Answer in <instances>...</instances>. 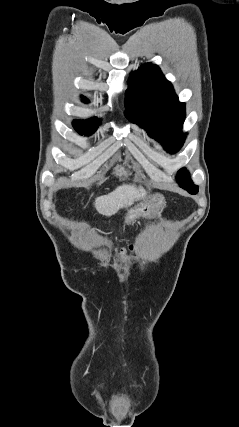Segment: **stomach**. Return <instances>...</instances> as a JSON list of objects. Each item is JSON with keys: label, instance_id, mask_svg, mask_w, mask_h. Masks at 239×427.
<instances>
[{"label": "stomach", "instance_id": "obj_1", "mask_svg": "<svg viewBox=\"0 0 239 427\" xmlns=\"http://www.w3.org/2000/svg\"><path fill=\"white\" fill-rule=\"evenodd\" d=\"M153 201L154 202L152 203H142L138 205L135 209H131L125 218V222H134L139 217L150 218L155 212V207L161 206L165 203L164 198L161 195L154 197Z\"/></svg>", "mask_w": 239, "mask_h": 427}]
</instances>
